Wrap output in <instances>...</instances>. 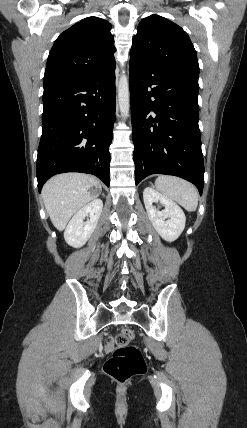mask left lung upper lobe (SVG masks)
<instances>
[{
  "instance_id": "1",
  "label": "left lung upper lobe",
  "mask_w": 247,
  "mask_h": 428,
  "mask_svg": "<svg viewBox=\"0 0 247 428\" xmlns=\"http://www.w3.org/2000/svg\"><path fill=\"white\" fill-rule=\"evenodd\" d=\"M130 57L149 62L166 75L198 85L199 65L187 33L159 15L141 20L133 38Z\"/></svg>"
}]
</instances>
